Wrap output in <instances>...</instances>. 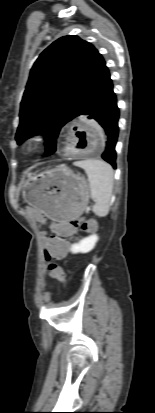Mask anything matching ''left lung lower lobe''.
<instances>
[{"instance_id": "1", "label": "left lung lower lobe", "mask_w": 155, "mask_h": 413, "mask_svg": "<svg viewBox=\"0 0 155 413\" xmlns=\"http://www.w3.org/2000/svg\"><path fill=\"white\" fill-rule=\"evenodd\" d=\"M79 115L93 119L104 129L106 147L102 158L116 168L115 145L118 137L119 109L109 71L105 65L94 88L83 101Z\"/></svg>"}]
</instances>
